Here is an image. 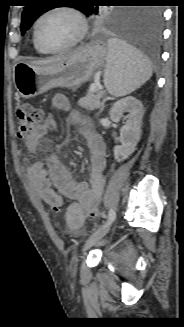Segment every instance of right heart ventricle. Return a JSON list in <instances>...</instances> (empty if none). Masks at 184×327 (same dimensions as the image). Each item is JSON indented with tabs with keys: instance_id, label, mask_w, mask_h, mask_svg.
Wrapping results in <instances>:
<instances>
[{
	"instance_id": "1",
	"label": "right heart ventricle",
	"mask_w": 184,
	"mask_h": 327,
	"mask_svg": "<svg viewBox=\"0 0 184 327\" xmlns=\"http://www.w3.org/2000/svg\"><path fill=\"white\" fill-rule=\"evenodd\" d=\"M34 46H35V49H36L39 53H46V52L40 50V49L35 45V43H34Z\"/></svg>"
}]
</instances>
